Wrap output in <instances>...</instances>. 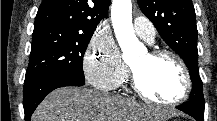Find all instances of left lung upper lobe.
<instances>
[{
    "mask_svg": "<svg viewBox=\"0 0 217 121\" xmlns=\"http://www.w3.org/2000/svg\"><path fill=\"white\" fill-rule=\"evenodd\" d=\"M163 40L185 61L192 81L190 101L204 117L203 83L198 70L197 26L191 0H137Z\"/></svg>",
    "mask_w": 217,
    "mask_h": 121,
    "instance_id": "obj_1",
    "label": "left lung upper lobe"
}]
</instances>
